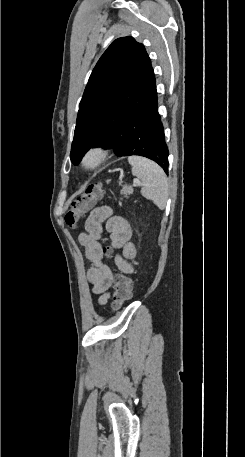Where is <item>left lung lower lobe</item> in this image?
I'll return each mask as SVG.
<instances>
[{
  "mask_svg": "<svg viewBox=\"0 0 245 457\" xmlns=\"http://www.w3.org/2000/svg\"><path fill=\"white\" fill-rule=\"evenodd\" d=\"M113 125L111 128H109ZM109 128L108 130H106ZM92 147L113 148L117 156L139 155L158 163L168 173V147L158 113L156 85L144 105L123 113L82 147L77 165Z\"/></svg>",
  "mask_w": 245,
  "mask_h": 457,
  "instance_id": "obj_1",
  "label": "left lung lower lobe"
}]
</instances>
